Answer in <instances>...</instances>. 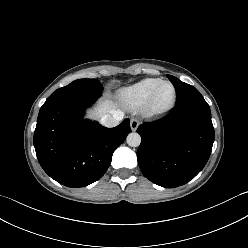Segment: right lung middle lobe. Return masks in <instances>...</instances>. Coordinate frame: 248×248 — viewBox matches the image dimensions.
<instances>
[{
  "label": "right lung middle lobe",
  "instance_id": "right-lung-middle-lobe-1",
  "mask_svg": "<svg viewBox=\"0 0 248 248\" xmlns=\"http://www.w3.org/2000/svg\"><path fill=\"white\" fill-rule=\"evenodd\" d=\"M62 91H85L101 93L103 91V86L96 79H78L65 87L57 89L55 92Z\"/></svg>",
  "mask_w": 248,
  "mask_h": 248
}]
</instances>
